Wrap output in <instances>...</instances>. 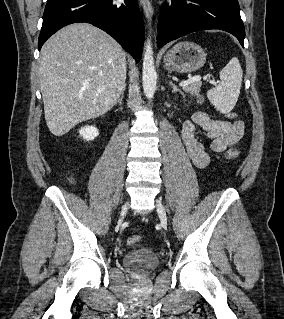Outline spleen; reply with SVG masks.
<instances>
[{
    "mask_svg": "<svg viewBox=\"0 0 284 319\" xmlns=\"http://www.w3.org/2000/svg\"><path fill=\"white\" fill-rule=\"evenodd\" d=\"M243 71L239 60L233 57L220 71V81L217 86L208 90L207 98L222 114L229 113L238 100Z\"/></svg>",
    "mask_w": 284,
    "mask_h": 319,
    "instance_id": "obj_1",
    "label": "spleen"
}]
</instances>
